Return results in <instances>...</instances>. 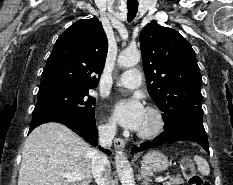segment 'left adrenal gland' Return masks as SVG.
Here are the masks:
<instances>
[{"instance_id": "obj_1", "label": "left adrenal gland", "mask_w": 233, "mask_h": 185, "mask_svg": "<svg viewBox=\"0 0 233 185\" xmlns=\"http://www.w3.org/2000/svg\"><path fill=\"white\" fill-rule=\"evenodd\" d=\"M141 178L143 179L144 185H149V182L151 181V179L146 174L142 173Z\"/></svg>"}]
</instances>
